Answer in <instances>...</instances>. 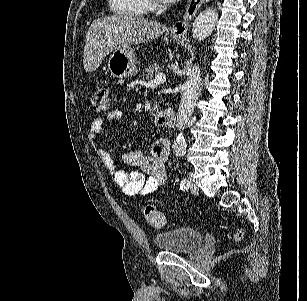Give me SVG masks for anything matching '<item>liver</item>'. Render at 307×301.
Returning <instances> with one entry per match:
<instances>
[{"label": "liver", "instance_id": "liver-1", "mask_svg": "<svg viewBox=\"0 0 307 301\" xmlns=\"http://www.w3.org/2000/svg\"><path fill=\"white\" fill-rule=\"evenodd\" d=\"M165 24L139 16H101L93 20L85 36L83 64L86 72H94L112 50H125L129 44H140L158 38Z\"/></svg>", "mask_w": 307, "mask_h": 301}]
</instances>
